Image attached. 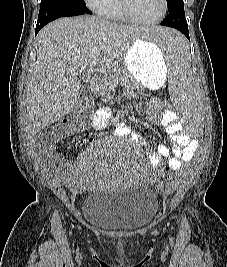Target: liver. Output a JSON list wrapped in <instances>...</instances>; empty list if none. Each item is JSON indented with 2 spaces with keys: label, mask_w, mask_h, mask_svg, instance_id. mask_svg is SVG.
<instances>
[{
  "label": "liver",
  "mask_w": 227,
  "mask_h": 267,
  "mask_svg": "<svg viewBox=\"0 0 227 267\" xmlns=\"http://www.w3.org/2000/svg\"><path fill=\"white\" fill-rule=\"evenodd\" d=\"M135 27L84 15L58 19L39 32L35 70L26 92L30 133L48 127L73 109L80 96L78 75L91 61L98 60L102 70L119 67L129 47L149 33Z\"/></svg>",
  "instance_id": "obj_1"
}]
</instances>
